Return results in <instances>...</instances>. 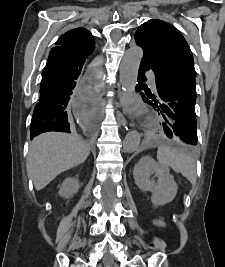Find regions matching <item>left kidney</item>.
I'll return each mask as SVG.
<instances>
[{"label":"left kidney","instance_id":"obj_1","mask_svg":"<svg viewBox=\"0 0 225 267\" xmlns=\"http://www.w3.org/2000/svg\"><path fill=\"white\" fill-rule=\"evenodd\" d=\"M157 177V183L150 176ZM135 184L143 191H151V201L154 205H165L173 201L178 185L167 167L161 166L149 156H145L134 166Z\"/></svg>","mask_w":225,"mask_h":267}]
</instances>
